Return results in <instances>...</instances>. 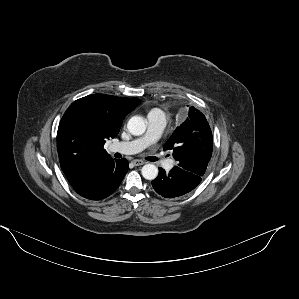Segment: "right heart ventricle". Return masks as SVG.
<instances>
[{"mask_svg":"<svg viewBox=\"0 0 299 299\" xmlns=\"http://www.w3.org/2000/svg\"><path fill=\"white\" fill-rule=\"evenodd\" d=\"M154 111H158V109H154V110H152L151 112H154ZM151 112H150V113H151Z\"/></svg>","mask_w":299,"mask_h":299,"instance_id":"obj_1","label":"right heart ventricle"}]
</instances>
